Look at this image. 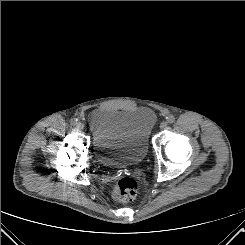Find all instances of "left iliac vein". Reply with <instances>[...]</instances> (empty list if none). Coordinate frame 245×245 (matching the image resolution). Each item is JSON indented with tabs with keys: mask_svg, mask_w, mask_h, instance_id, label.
<instances>
[{
	"mask_svg": "<svg viewBox=\"0 0 245 245\" xmlns=\"http://www.w3.org/2000/svg\"><path fill=\"white\" fill-rule=\"evenodd\" d=\"M167 127V122L166 121H162L161 123H160V128L161 129H165Z\"/></svg>",
	"mask_w": 245,
	"mask_h": 245,
	"instance_id": "left-iliac-vein-1",
	"label": "left iliac vein"
}]
</instances>
